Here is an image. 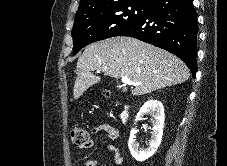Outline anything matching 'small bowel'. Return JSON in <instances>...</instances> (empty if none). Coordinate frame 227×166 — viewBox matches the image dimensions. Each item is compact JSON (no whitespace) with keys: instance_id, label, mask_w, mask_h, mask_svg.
<instances>
[{"instance_id":"obj_1","label":"small bowel","mask_w":227,"mask_h":166,"mask_svg":"<svg viewBox=\"0 0 227 166\" xmlns=\"http://www.w3.org/2000/svg\"><path fill=\"white\" fill-rule=\"evenodd\" d=\"M91 131L93 135L105 136L110 141H114L118 138V131L115 128L108 125L94 126ZM93 145H94V142L91 141L88 147H92ZM106 149L108 152H110L113 155L114 161L116 163H122L124 161V155L119 152V150L115 145L108 143L106 145ZM99 162L100 161L98 158H87L85 159V166H98Z\"/></svg>"}]
</instances>
